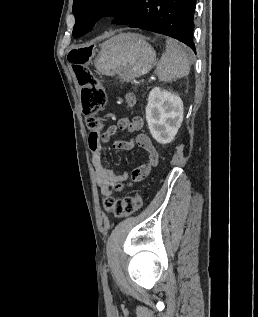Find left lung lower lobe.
<instances>
[{"mask_svg": "<svg viewBox=\"0 0 258 317\" xmlns=\"http://www.w3.org/2000/svg\"><path fill=\"white\" fill-rule=\"evenodd\" d=\"M196 0H139L129 27L175 38L195 50L192 34Z\"/></svg>", "mask_w": 258, "mask_h": 317, "instance_id": "obj_1", "label": "left lung lower lobe"}]
</instances>
